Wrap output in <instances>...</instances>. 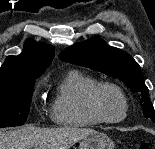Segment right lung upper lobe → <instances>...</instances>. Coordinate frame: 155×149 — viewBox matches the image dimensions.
Returning <instances> with one entry per match:
<instances>
[{"mask_svg":"<svg viewBox=\"0 0 155 149\" xmlns=\"http://www.w3.org/2000/svg\"><path fill=\"white\" fill-rule=\"evenodd\" d=\"M53 57L52 46L28 39L20 55L6 58L0 68V79L39 77L50 66Z\"/></svg>","mask_w":155,"mask_h":149,"instance_id":"obj_1","label":"right lung upper lobe"}]
</instances>
